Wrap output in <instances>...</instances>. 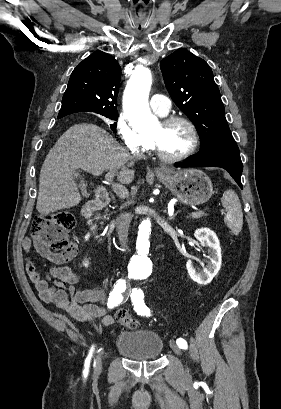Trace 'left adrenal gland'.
Returning a JSON list of instances; mask_svg holds the SVG:
<instances>
[{"label": "left adrenal gland", "instance_id": "left-adrenal-gland-1", "mask_svg": "<svg viewBox=\"0 0 281 409\" xmlns=\"http://www.w3.org/2000/svg\"><path fill=\"white\" fill-rule=\"evenodd\" d=\"M177 213H175V215H173V217H168V219H175Z\"/></svg>", "mask_w": 281, "mask_h": 409}]
</instances>
